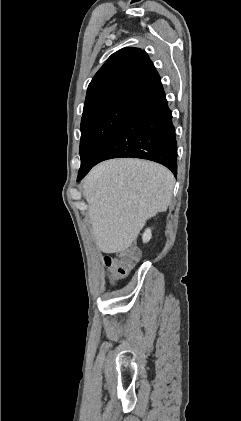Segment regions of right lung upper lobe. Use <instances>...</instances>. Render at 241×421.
Returning a JSON list of instances; mask_svg holds the SVG:
<instances>
[{
	"instance_id": "right-lung-upper-lobe-1",
	"label": "right lung upper lobe",
	"mask_w": 241,
	"mask_h": 421,
	"mask_svg": "<svg viewBox=\"0 0 241 421\" xmlns=\"http://www.w3.org/2000/svg\"><path fill=\"white\" fill-rule=\"evenodd\" d=\"M159 78L145 51L123 48L109 57L90 82L83 115L115 103L131 102Z\"/></svg>"
}]
</instances>
